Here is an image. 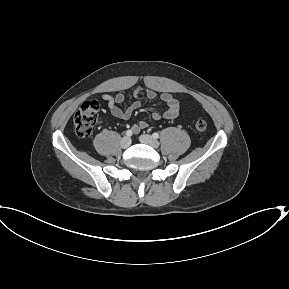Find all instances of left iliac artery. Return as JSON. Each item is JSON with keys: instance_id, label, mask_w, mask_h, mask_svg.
Wrapping results in <instances>:
<instances>
[{"instance_id": "44dca946", "label": "left iliac artery", "mask_w": 289, "mask_h": 289, "mask_svg": "<svg viewBox=\"0 0 289 289\" xmlns=\"http://www.w3.org/2000/svg\"><path fill=\"white\" fill-rule=\"evenodd\" d=\"M152 136H153L154 138H156V139H157V138H159V134H158V133H156V132H155V133H153V135H152Z\"/></svg>"}]
</instances>
